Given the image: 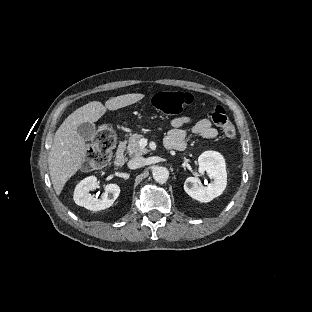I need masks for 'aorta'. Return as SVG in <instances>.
<instances>
[{"instance_id":"1","label":"aorta","mask_w":312,"mask_h":312,"mask_svg":"<svg viewBox=\"0 0 312 312\" xmlns=\"http://www.w3.org/2000/svg\"><path fill=\"white\" fill-rule=\"evenodd\" d=\"M168 178H169V172L165 167L159 166V167L154 168L153 179L155 182L159 184H163L168 180Z\"/></svg>"}]
</instances>
